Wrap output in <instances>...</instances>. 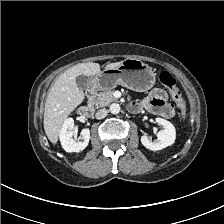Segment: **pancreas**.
Masks as SVG:
<instances>
[{
	"mask_svg": "<svg viewBox=\"0 0 224 224\" xmlns=\"http://www.w3.org/2000/svg\"><path fill=\"white\" fill-rule=\"evenodd\" d=\"M113 92L114 91L112 88L98 93L93 100V104L96 107H105L109 105L111 102L116 101L117 99L113 96Z\"/></svg>",
	"mask_w": 224,
	"mask_h": 224,
	"instance_id": "1",
	"label": "pancreas"
}]
</instances>
